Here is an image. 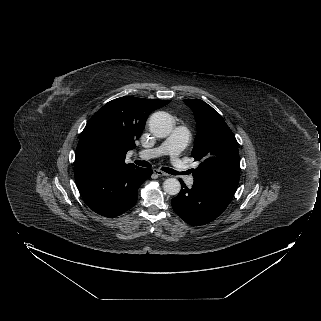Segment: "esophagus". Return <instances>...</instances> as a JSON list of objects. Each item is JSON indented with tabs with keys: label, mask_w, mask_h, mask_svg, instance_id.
Segmentation results:
<instances>
[{
	"label": "esophagus",
	"mask_w": 321,
	"mask_h": 321,
	"mask_svg": "<svg viewBox=\"0 0 321 321\" xmlns=\"http://www.w3.org/2000/svg\"><path fill=\"white\" fill-rule=\"evenodd\" d=\"M153 172H154V174H156L158 176H169L167 173H165L159 169H154Z\"/></svg>",
	"instance_id": "1"
}]
</instances>
